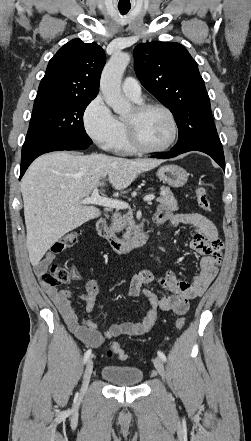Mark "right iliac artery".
Masks as SVG:
<instances>
[{"label":"right iliac artery","instance_id":"obj_1","mask_svg":"<svg viewBox=\"0 0 251 441\" xmlns=\"http://www.w3.org/2000/svg\"><path fill=\"white\" fill-rule=\"evenodd\" d=\"M91 353H92L91 349L86 351V353L84 354V363H86L88 361V359L91 356Z\"/></svg>","mask_w":251,"mask_h":441}]
</instances>
